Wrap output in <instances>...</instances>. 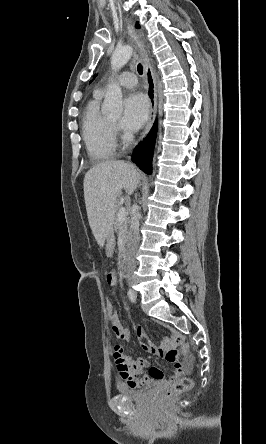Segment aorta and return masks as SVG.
Wrapping results in <instances>:
<instances>
[{"mask_svg":"<svg viewBox=\"0 0 266 444\" xmlns=\"http://www.w3.org/2000/svg\"><path fill=\"white\" fill-rule=\"evenodd\" d=\"M133 48L131 46H122L117 48L111 56V69L114 73L119 71L131 58ZM123 111L122 91L116 83L108 85L102 105V112L110 116H120Z\"/></svg>","mask_w":266,"mask_h":444,"instance_id":"aorta-1","label":"aorta"}]
</instances>
